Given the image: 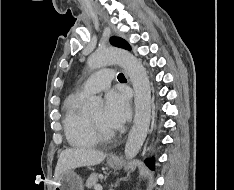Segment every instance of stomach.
<instances>
[{
    "label": "stomach",
    "instance_id": "0dacf381",
    "mask_svg": "<svg viewBox=\"0 0 234 190\" xmlns=\"http://www.w3.org/2000/svg\"><path fill=\"white\" fill-rule=\"evenodd\" d=\"M110 167L120 166V160L108 161ZM82 179L73 170L63 172L56 180L54 190H82Z\"/></svg>",
    "mask_w": 234,
    "mask_h": 190
}]
</instances>
